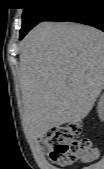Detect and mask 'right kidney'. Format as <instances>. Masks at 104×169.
<instances>
[{
	"label": "right kidney",
	"instance_id": "ca27d5eb",
	"mask_svg": "<svg viewBox=\"0 0 104 169\" xmlns=\"http://www.w3.org/2000/svg\"><path fill=\"white\" fill-rule=\"evenodd\" d=\"M97 109H98V115L102 119L103 113H104V96L103 95L99 99Z\"/></svg>",
	"mask_w": 104,
	"mask_h": 169
}]
</instances>
